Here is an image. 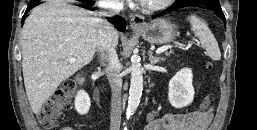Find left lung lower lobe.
<instances>
[{"label":"left lung lower lobe","instance_id":"1","mask_svg":"<svg viewBox=\"0 0 257 130\" xmlns=\"http://www.w3.org/2000/svg\"><path fill=\"white\" fill-rule=\"evenodd\" d=\"M191 4H201V5H204L205 9H208L210 11L215 12V14L218 17H220L224 21V23L226 24V19H225V16H224L223 12H222V9L220 7V4H219L218 0H197V1H193V3H191ZM186 5H188V4H172L167 10H165V11L155 15L153 18L163 16V15L167 14L170 11L182 8V7L186 6Z\"/></svg>","mask_w":257,"mask_h":130}]
</instances>
